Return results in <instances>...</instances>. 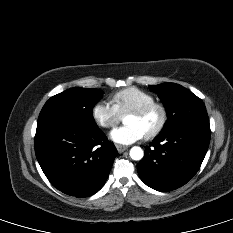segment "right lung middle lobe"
<instances>
[{
    "label": "right lung middle lobe",
    "instance_id": "1",
    "mask_svg": "<svg viewBox=\"0 0 233 233\" xmlns=\"http://www.w3.org/2000/svg\"><path fill=\"white\" fill-rule=\"evenodd\" d=\"M103 91L94 88H71L51 97L43 106L38 123L64 119L74 123L97 126L92 109Z\"/></svg>",
    "mask_w": 233,
    "mask_h": 233
}]
</instances>
